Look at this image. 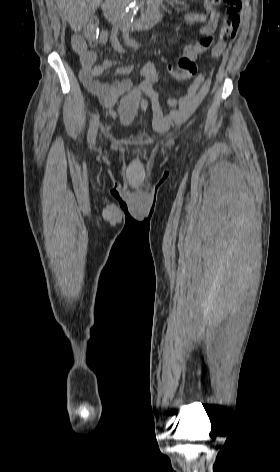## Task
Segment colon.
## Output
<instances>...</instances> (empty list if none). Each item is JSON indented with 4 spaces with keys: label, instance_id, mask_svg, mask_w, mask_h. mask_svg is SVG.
<instances>
[{
    "label": "colon",
    "instance_id": "colon-1",
    "mask_svg": "<svg viewBox=\"0 0 280 472\" xmlns=\"http://www.w3.org/2000/svg\"><path fill=\"white\" fill-rule=\"evenodd\" d=\"M220 1L226 4L227 24L236 26L240 22L239 13L241 11V0H210L211 3L217 4ZM99 25L96 20H91L82 30V35L91 43H95L98 36ZM196 72L194 62L189 60H179L176 67H169V73L178 80H186L191 78Z\"/></svg>",
    "mask_w": 280,
    "mask_h": 472
}]
</instances>
